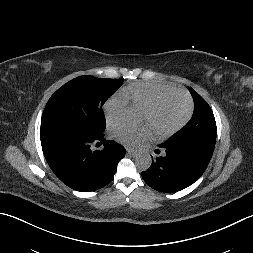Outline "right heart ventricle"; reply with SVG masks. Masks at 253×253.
<instances>
[{"instance_id": "e07e8e85", "label": "right heart ventricle", "mask_w": 253, "mask_h": 253, "mask_svg": "<svg viewBox=\"0 0 253 253\" xmlns=\"http://www.w3.org/2000/svg\"><path fill=\"white\" fill-rule=\"evenodd\" d=\"M176 90L169 84L152 83V82H134L121 90V95L135 106L145 107L159 94Z\"/></svg>"}]
</instances>
